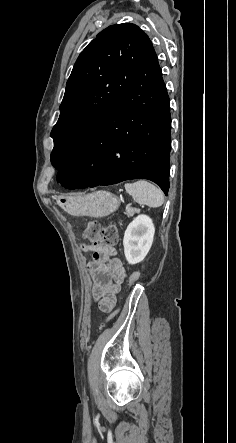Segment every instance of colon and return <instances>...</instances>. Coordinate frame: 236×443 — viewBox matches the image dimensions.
<instances>
[{"label":"colon","mask_w":236,"mask_h":443,"mask_svg":"<svg viewBox=\"0 0 236 443\" xmlns=\"http://www.w3.org/2000/svg\"><path fill=\"white\" fill-rule=\"evenodd\" d=\"M84 236L92 246L112 245L117 241V228L113 223H110L106 227H101L97 221H90L86 227ZM139 276V273H134L130 278V284H133ZM115 315L116 313L111 314L109 319Z\"/></svg>","instance_id":"5ec220e1"}]
</instances>
